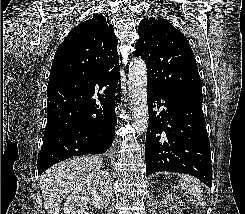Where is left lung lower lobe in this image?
<instances>
[{"mask_svg":"<svg viewBox=\"0 0 245 214\" xmlns=\"http://www.w3.org/2000/svg\"><path fill=\"white\" fill-rule=\"evenodd\" d=\"M202 101L200 96L173 95L147 85V176L160 171L184 173L211 188L210 143ZM153 108L161 111H153Z\"/></svg>","mask_w":245,"mask_h":214,"instance_id":"left-lung-lower-lobe-1","label":"left lung lower lobe"}]
</instances>
